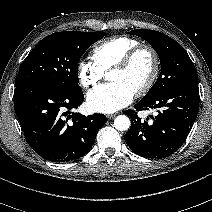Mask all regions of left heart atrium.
Masks as SVG:
<instances>
[{"instance_id":"39dd6f15","label":"left heart atrium","mask_w":212,"mask_h":212,"mask_svg":"<svg viewBox=\"0 0 212 212\" xmlns=\"http://www.w3.org/2000/svg\"><path fill=\"white\" fill-rule=\"evenodd\" d=\"M135 92L121 82L99 85L87 93V106L99 113H113L129 105Z\"/></svg>"}]
</instances>
